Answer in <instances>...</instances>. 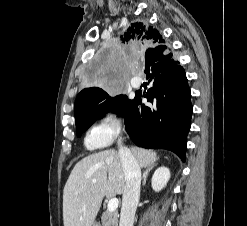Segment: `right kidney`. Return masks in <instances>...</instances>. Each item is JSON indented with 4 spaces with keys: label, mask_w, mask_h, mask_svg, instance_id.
Here are the masks:
<instances>
[{
    "label": "right kidney",
    "mask_w": 247,
    "mask_h": 226,
    "mask_svg": "<svg viewBox=\"0 0 247 226\" xmlns=\"http://www.w3.org/2000/svg\"><path fill=\"white\" fill-rule=\"evenodd\" d=\"M170 179V171L167 167H159L153 174L151 180L152 189L155 192L161 191Z\"/></svg>",
    "instance_id": "obj_1"
}]
</instances>
